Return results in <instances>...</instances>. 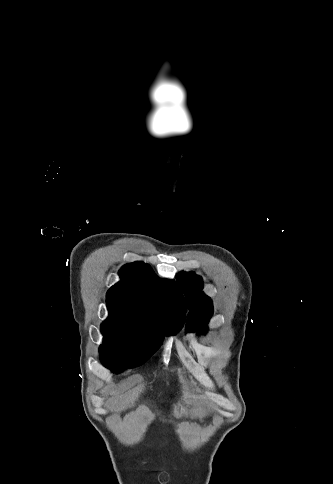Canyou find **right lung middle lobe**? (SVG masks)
<instances>
[{"label":"right lung middle lobe","instance_id":"1","mask_svg":"<svg viewBox=\"0 0 333 484\" xmlns=\"http://www.w3.org/2000/svg\"><path fill=\"white\" fill-rule=\"evenodd\" d=\"M176 330L164 334L172 335ZM101 332L104 337L99 348L101 361L115 372L144 363L159 348L164 335L147 332L133 323L107 320L101 324Z\"/></svg>","mask_w":333,"mask_h":484}]
</instances>
